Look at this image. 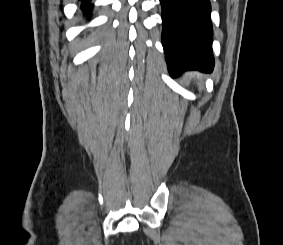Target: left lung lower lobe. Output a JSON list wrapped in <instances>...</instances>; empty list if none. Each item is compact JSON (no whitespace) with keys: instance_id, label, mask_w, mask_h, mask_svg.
Returning <instances> with one entry per match:
<instances>
[{"instance_id":"left-lung-lower-lobe-1","label":"left lung lower lobe","mask_w":283,"mask_h":245,"mask_svg":"<svg viewBox=\"0 0 283 245\" xmlns=\"http://www.w3.org/2000/svg\"><path fill=\"white\" fill-rule=\"evenodd\" d=\"M162 44L169 73L186 70L212 72L211 5L209 0H160Z\"/></svg>"}]
</instances>
